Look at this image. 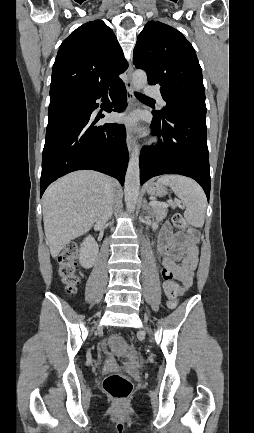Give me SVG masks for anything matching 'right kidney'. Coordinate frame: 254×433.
<instances>
[{
    "label": "right kidney",
    "mask_w": 254,
    "mask_h": 433,
    "mask_svg": "<svg viewBox=\"0 0 254 433\" xmlns=\"http://www.w3.org/2000/svg\"><path fill=\"white\" fill-rule=\"evenodd\" d=\"M98 250V244L95 240L91 236L86 237L79 250V261L82 267L89 269L94 265Z\"/></svg>",
    "instance_id": "1"
}]
</instances>
